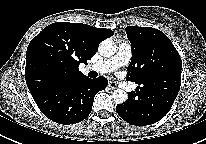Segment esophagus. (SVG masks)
Segmentation results:
<instances>
[{"label":"esophagus","instance_id":"obj_1","mask_svg":"<svg viewBox=\"0 0 206 144\" xmlns=\"http://www.w3.org/2000/svg\"><path fill=\"white\" fill-rule=\"evenodd\" d=\"M108 86H109L111 89H116L118 85H117L116 82L109 81Z\"/></svg>","mask_w":206,"mask_h":144}]
</instances>
